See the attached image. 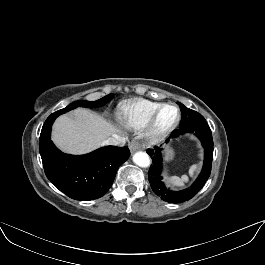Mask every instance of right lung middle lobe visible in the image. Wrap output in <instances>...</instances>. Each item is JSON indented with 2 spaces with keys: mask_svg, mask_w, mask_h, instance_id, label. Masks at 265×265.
<instances>
[{
  "mask_svg": "<svg viewBox=\"0 0 265 265\" xmlns=\"http://www.w3.org/2000/svg\"><path fill=\"white\" fill-rule=\"evenodd\" d=\"M113 97V94H109V95H106L105 97L97 100V101H76V102H73L71 104H69L67 107L59 110V111H56V113H60V114H63L65 112H68L72 109H75L77 107H86V108H97L99 106H103L105 105L110 99H112Z\"/></svg>",
  "mask_w": 265,
  "mask_h": 265,
  "instance_id": "dd1d6c3e",
  "label": "right lung middle lobe"
}]
</instances>
